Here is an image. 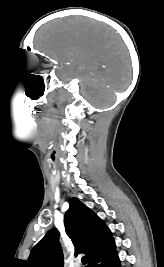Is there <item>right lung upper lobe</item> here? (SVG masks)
Instances as JSON below:
<instances>
[{"instance_id":"cb5924a9","label":"right lung upper lobe","mask_w":164,"mask_h":267,"mask_svg":"<svg viewBox=\"0 0 164 267\" xmlns=\"http://www.w3.org/2000/svg\"><path fill=\"white\" fill-rule=\"evenodd\" d=\"M64 225L76 253H85L88 265L96 257L115 248L109 228L75 197L70 200ZM63 259L59 232L53 228L33 247L27 263L30 267H63Z\"/></svg>"}]
</instances>
